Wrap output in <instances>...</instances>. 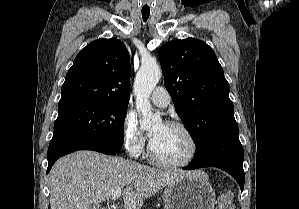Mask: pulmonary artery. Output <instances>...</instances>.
<instances>
[{
	"label": "pulmonary artery",
	"instance_id": "e3ab8cb5",
	"mask_svg": "<svg viewBox=\"0 0 299 209\" xmlns=\"http://www.w3.org/2000/svg\"><path fill=\"white\" fill-rule=\"evenodd\" d=\"M150 99L154 105L165 108L169 105L171 97L164 87L158 86L151 93Z\"/></svg>",
	"mask_w": 299,
	"mask_h": 209
}]
</instances>
